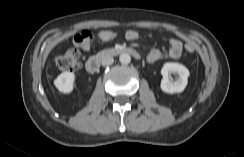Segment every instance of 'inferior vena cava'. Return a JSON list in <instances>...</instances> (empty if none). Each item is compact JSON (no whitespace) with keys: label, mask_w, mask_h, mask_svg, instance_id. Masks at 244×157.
Wrapping results in <instances>:
<instances>
[{"label":"inferior vena cava","mask_w":244,"mask_h":157,"mask_svg":"<svg viewBox=\"0 0 244 157\" xmlns=\"http://www.w3.org/2000/svg\"><path fill=\"white\" fill-rule=\"evenodd\" d=\"M113 62H114V59H113L112 56H105V57H103L102 60H101V64H102V66H108V65H111V64H113Z\"/></svg>","instance_id":"1"}]
</instances>
